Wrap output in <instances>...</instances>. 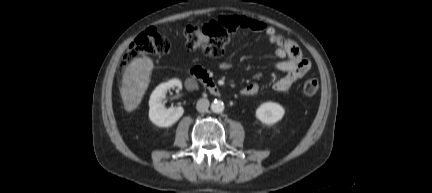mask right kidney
Returning <instances> with one entry per match:
<instances>
[{
    "label": "right kidney",
    "instance_id": "right-kidney-1",
    "mask_svg": "<svg viewBox=\"0 0 432 193\" xmlns=\"http://www.w3.org/2000/svg\"><path fill=\"white\" fill-rule=\"evenodd\" d=\"M182 87V83L178 79H172L168 82L161 83L152 92L149 100V118L153 124L159 127H170L176 123L183 115L182 107L166 108L163 100L166 97L167 91L170 88Z\"/></svg>",
    "mask_w": 432,
    "mask_h": 193
}]
</instances>
